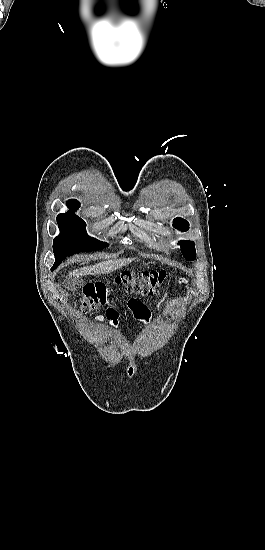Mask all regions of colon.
Masks as SVG:
<instances>
[{
  "instance_id": "1",
  "label": "colon",
  "mask_w": 265,
  "mask_h": 550,
  "mask_svg": "<svg viewBox=\"0 0 265 550\" xmlns=\"http://www.w3.org/2000/svg\"><path fill=\"white\" fill-rule=\"evenodd\" d=\"M170 277L166 271L124 272L116 277V284L127 294L152 296L160 292L162 285ZM109 293V287L102 282L85 284L80 298L83 311L88 312L106 305ZM134 305L136 304L130 303V307ZM117 314L114 308H108V317L114 318Z\"/></svg>"
}]
</instances>
